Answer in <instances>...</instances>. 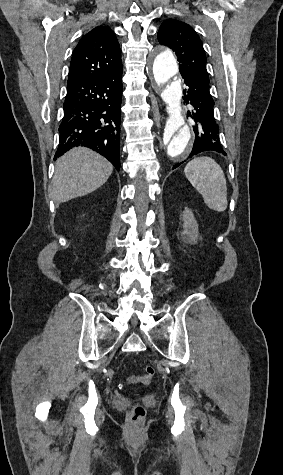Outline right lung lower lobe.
I'll return each instance as SVG.
<instances>
[{"label":"right lung lower lobe","instance_id":"1","mask_svg":"<svg viewBox=\"0 0 283 475\" xmlns=\"http://www.w3.org/2000/svg\"><path fill=\"white\" fill-rule=\"evenodd\" d=\"M121 78L122 71L68 83L55 159L72 147L86 146L120 169Z\"/></svg>","mask_w":283,"mask_h":475}]
</instances>
